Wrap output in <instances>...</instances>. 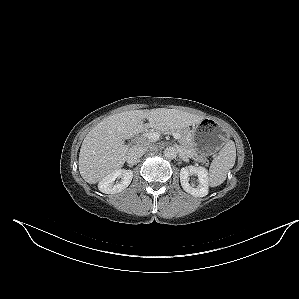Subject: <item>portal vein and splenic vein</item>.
Here are the masks:
<instances>
[{"label":"portal vein and splenic vein","instance_id":"obj_1","mask_svg":"<svg viewBox=\"0 0 299 299\" xmlns=\"http://www.w3.org/2000/svg\"><path fill=\"white\" fill-rule=\"evenodd\" d=\"M145 137H147L148 139L152 140V141H157L160 138V134L158 132H148L144 134ZM172 136L175 139H179V134L178 133H172Z\"/></svg>","mask_w":299,"mask_h":299}]
</instances>
